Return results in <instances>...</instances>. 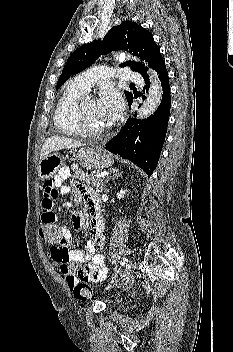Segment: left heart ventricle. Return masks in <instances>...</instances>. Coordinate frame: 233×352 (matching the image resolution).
Listing matches in <instances>:
<instances>
[{"instance_id": "1", "label": "left heart ventricle", "mask_w": 233, "mask_h": 352, "mask_svg": "<svg viewBox=\"0 0 233 352\" xmlns=\"http://www.w3.org/2000/svg\"><path fill=\"white\" fill-rule=\"evenodd\" d=\"M84 114L87 124L90 127L104 129L107 124L105 123L102 115L99 112L97 101L94 99H87L84 103Z\"/></svg>"}]
</instances>
